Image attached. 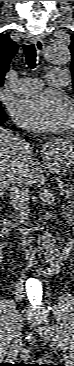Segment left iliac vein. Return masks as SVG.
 <instances>
[{
  "label": "left iliac vein",
  "mask_w": 74,
  "mask_h": 366,
  "mask_svg": "<svg viewBox=\"0 0 74 366\" xmlns=\"http://www.w3.org/2000/svg\"><path fill=\"white\" fill-rule=\"evenodd\" d=\"M36 331L43 334L44 337H46L47 339H50L51 337H53L54 341L59 340L57 337V333H56L54 327H52V326L42 325V326L37 327ZM53 344L55 345V343H53ZM64 359H65L67 366L73 365L72 360L68 356H65Z\"/></svg>",
  "instance_id": "left-iliac-vein-1"
}]
</instances>
